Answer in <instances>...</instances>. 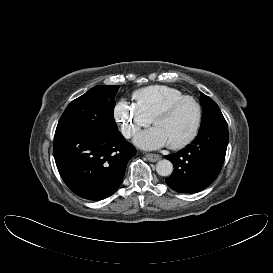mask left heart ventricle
<instances>
[{
  "mask_svg": "<svg viewBox=\"0 0 273 273\" xmlns=\"http://www.w3.org/2000/svg\"><path fill=\"white\" fill-rule=\"evenodd\" d=\"M197 119V109L193 102L185 101L174 108L171 114L156 122L155 128L170 145L186 139L192 132Z\"/></svg>",
  "mask_w": 273,
  "mask_h": 273,
  "instance_id": "1",
  "label": "left heart ventricle"
}]
</instances>
